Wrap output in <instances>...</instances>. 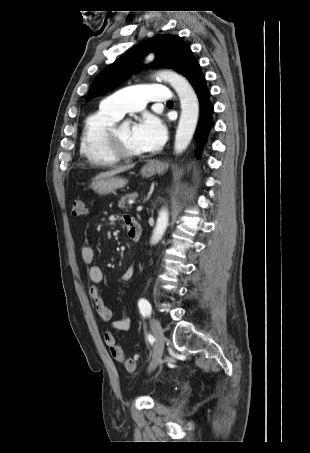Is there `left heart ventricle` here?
I'll return each instance as SVG.
<instances>
[{
  "mask_svg": "<svg viewBox=\"0 0 310 453\" xmlns=\"http://www.w3.org/2000/svg\"><path fill=\"white\" fill-rule=\"evenodd\" d=\"M132 128L133 126L129 123L122 124L118 129L119 138L129 152L143 153L144 151L134 141Z\"/></svg>",
  "mask_w": 310,
  "mask_h": 453,
  "instance_id": "1",
  "label": "left heart ventricle"
}]
</instances>
